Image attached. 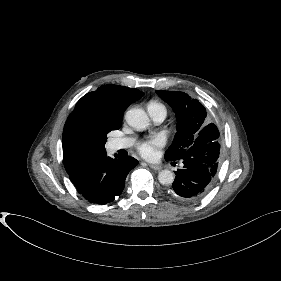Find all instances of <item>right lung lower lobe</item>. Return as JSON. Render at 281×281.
Segmentation results:
<instances>
[{
	"label": "right lung lower lobe",
	"instance_id": "obj_1",
	"mask_svg": "<svg viewBox=\"0 0 281 281\" xmlns=\"http://www.w3.org/2000/svg\"><path fill=\"white\" fill-rule=\"evenodd\" d=\"M100 153L69 174L77 191L90 203L112 202L124 189L127 174L138 164L133 157Z\"/></svg>",
	"mask_w": 281,
	"mask_h": 281
}]
</instances>
